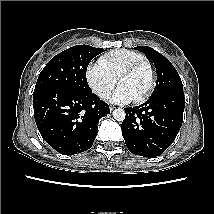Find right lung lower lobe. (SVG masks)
<instances>
[{"label":"right lung lower lobe","mask_w":214,"mask_h":214,"mask_svg":"<svg viewBox=\"0 0 214 214\" xmlns=\"http://www.w3.org/2000/svg\"><path fill=\"white\" fill-rule=\"evenodd\" d=\"M34 118L42 138L57 152L88 150L109 106L92 92L47 88L33 93Z\"/></svg>","instance_id":"98d812e1"}]
</instances>
